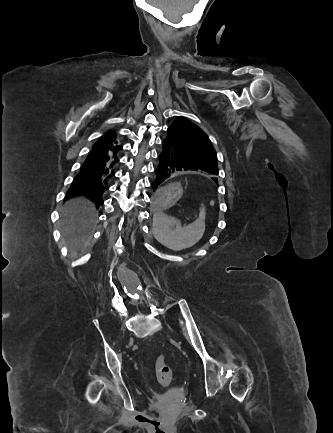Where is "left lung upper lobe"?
<instances>
[{
	"mask_svg": "<svg viewBox=\"0 0 333 433\" xmlns=\"http://www.w3.org/2000/svg\"><path fill=\"white\" fill-rule=\"evenodd\" d=\"M165 139H168L172 146L180 148L190 156L218 171L216 151L208 136L187 118L177 117L167 129Z\"/></svg>",
	"mask_w": 333,
	"mask_h": 433,
	"instance_id": "5c2ea615",
	"label": "left lung upper lobe"
}]
</instances>
